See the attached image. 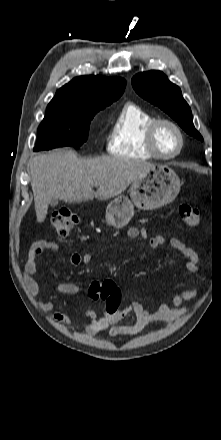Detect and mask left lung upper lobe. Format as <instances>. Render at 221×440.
I'll return each instance as SVG.
<instances>
[{
  "instance_id": "5c2ea615",
  "label": "left lung upper lobe",
  "mask_w": 221,
  "mask_h": 440,
  "mask_svg": "<svg viewBox=\"0 0 221 440\" xmlns=\"http://www.w3.org/2000/svg\"><path fill=\"white\" fill-rule=\"evenodd\" d=\"M132 86L141 97L177 121L189 135L203 140L193 125L191 109L182 97L180 88L171 83L161 71L136 74L132 78Z\"/></svg>"
}]
</instances>
